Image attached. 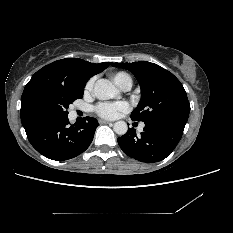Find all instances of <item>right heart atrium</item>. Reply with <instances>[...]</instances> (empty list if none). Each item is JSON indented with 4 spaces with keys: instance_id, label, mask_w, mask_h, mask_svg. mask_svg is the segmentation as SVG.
Segmentation results:
<instances>
[{
    "instance_id": "right-heart-atrium-1",
    "label": "right heart atrium",
    "mask_w": 233,
    "mask_h": 233,
    "mask_svg": "<svg viewBox=\"0 0 233 233\" xmlns=\"http://www.w3.org/2000/svg\"><path fill=\"white\" fill-rule=\"evenodd\" d=\"M94 83H95V78L89 79V81L85 85V93L90 94L92 92Z\"/></svg>"
}]
</instances>
